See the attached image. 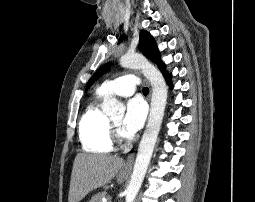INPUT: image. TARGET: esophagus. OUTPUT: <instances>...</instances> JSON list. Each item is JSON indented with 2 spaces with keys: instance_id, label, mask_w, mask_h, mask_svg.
I'll return each mask as SVG.
<instances>
[{
  "instance_id": "1",
  "label": "esophagus",
  "mask_w": 255,
  "mask_h": 202,
  "mask_svg": "<svg viewBox=\"0 0 255 202\" xmlns=\"http://www.w3.org/2000/svg\"><path fill=\"white\" fill-rule=\"evenodd\" d=\"M133 160H134V153H131L128 158L127 161L125 163V168H131L133 165Z\"/></svg>"
}]
</instances>
